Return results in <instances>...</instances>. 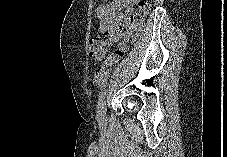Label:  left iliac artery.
<instances>
[{
    "instance_id": "1",
    "label": "left iliac artery",
    "mask_w": 227,
    "mask_h": 157,
    "mask_svg": "<svg viewBox=\"0 0 227 157\" xmlns=\"http://www.w3.org/2000/svg\"><path fill=\"white\" fill-rule=\"evenodd\" d=\"M106 94H107V89H105V88L102 89L101 92H100V95H99V99H98V109L101 108L102 103H103V101L105 99Z\"/></svg>"
}]
</instances>
